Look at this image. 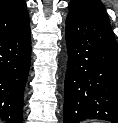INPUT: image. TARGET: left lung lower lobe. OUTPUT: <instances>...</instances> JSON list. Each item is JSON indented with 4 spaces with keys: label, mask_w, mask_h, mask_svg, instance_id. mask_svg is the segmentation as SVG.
<instances>
[{
    "label": "left lung lower lobe",
    "mask_w": 118,
    "mask_h": 123,
    "mask_svg": "<svg viewBox=\"0 0 118 123\" xmlns=\"http://www.w3.org/2000/svg\"><path fill=\"white\" fill-rule=\"evenodd\" d=\"M64 123H118V46L109 21L66 19Z\"/></svg>",
    "instance_id": "1"
}]
</instances>
